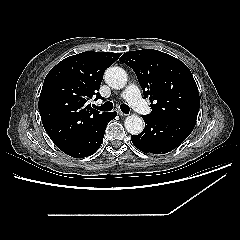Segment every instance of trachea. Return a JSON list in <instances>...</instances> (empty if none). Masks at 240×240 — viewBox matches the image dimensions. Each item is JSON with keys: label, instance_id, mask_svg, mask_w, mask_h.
<instances>
[{"label": "trachea", "instance_id": "3493384b", "mask_svg": "<svg viewBox=\"0 0 240 240\" xmlns=\"http://www.w3.org/2000/svg\"><path fill=\"white\" fill-rule=\"evenodd\" d=\"M97 109L100 111H111L113 109V104H112V102H106L103 105H101L100 107H97ZM120 109L122 110V112H124L126 114H128L130 111L129 106L126 104L120 105Z\"/></svg>", "mask_w": 240, "mask_h": 240}]
</instances>
